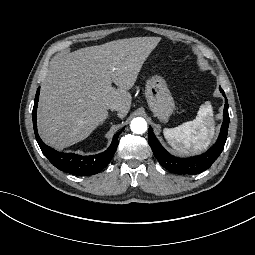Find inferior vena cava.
<instances>
[{
  "label": "inferior vena cava",
  "instance_id": "602c4592",
  "mask_svg": "<svg viewBox=\"0 0 255 255\" xmlns=\"http://www.w3.org/2000/svg\"><path fill=\"white\" fill-rule=\"evenodd\" d=\"M109 109L112 111H119L120 105L118 103H112L109 105Z\"/></svg>",
  "mask_w": 255,
  "mask_h": 255
}]
</instances>
